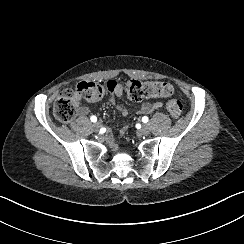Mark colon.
<instances>
[{"mask_svg": "<svg viewBox=\"0 0 244 244\" xmlns=\"http://www.w3.org/2000/svg\"><path fill=\"white\" fill-rule=\"evenodd\" d=\"M126 93L133 101H142L149 98H169L166 109L173 119L180 117L183 106L174 98V87L163 81L144 82L131 79L126 84ZM106 94L103 84L95 81L80 82L75 88L66 89L61 92L54 105V115L59 121L69 122L76 115L77 105L81 99L90 102L99 101Z\"/></svg>", "mask_w": 244, "mask_h": 244, "instance_id": "colon-1", "label": "colon"}]
</instances>
